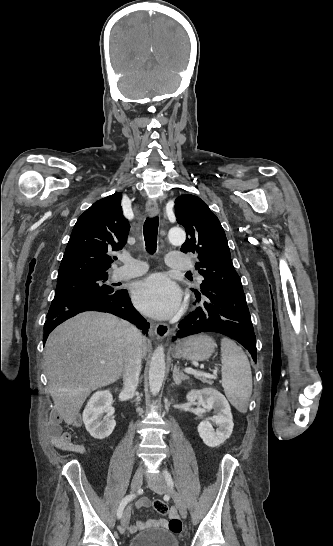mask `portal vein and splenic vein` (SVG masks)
I'll return each mask as SVG.
<instances>
[{
	"instance_id": "18ae733b",
	"label": "portal vein and splenic vein",
	"mask_w": 333,
	"mask_h": 546,
	"mask_svg": "<svg viewBox=\"0 0 333 546\" xmlns=\"http://www.w3.org/2000/svg\"><path fill=\"white\" fill-rule=\"evenodd\" d=\"M102 364L105 363V360H101L100 361ZM184 371L187 373V374H193L195 376H205V377H213L217 374V371L215 370L213 374H208V373H204V372H199L197 370H194L192 368H185Z\"/></svg>"
}]
</instances>
